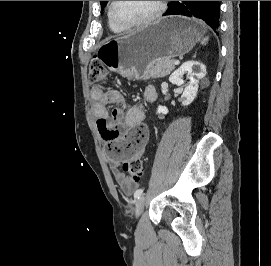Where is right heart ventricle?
Segmentation results:
<instances>
[{
    "instance_id": "right-heart-ventricle-1",
    "label": "right heart ventricle",
    "mask_w": 271,
    "mask_h": 266,
    "mask_svg": "<svg viewBox=\"0 0 271 266\" xmlns=\"http://www.w3.org/2000/svg\"><path fill=\"white\" fill-rule=\"evenodd\" d=\"M107 19H108V25H109V28H110L114 33H122V32H124V29L119 28L118 26H116V25L111 21L108 12H107Z\"/></svg>"
}]
</instances>
